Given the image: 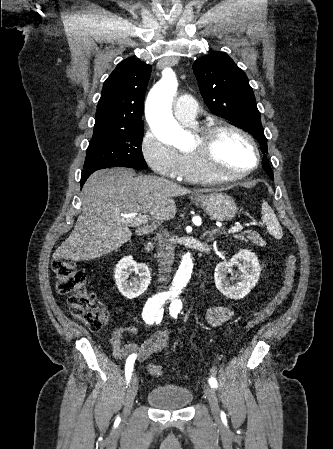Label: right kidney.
I'll use <instances>...</instances> for the list:
<instances>
[{
  "label": "right kidney",
  "mask_w": 333,
  "mask_h": 449,
  "mask_svg": "<svg viewBox=\"0 0 333 449\" xmlns=\"http://www.w3.org/2000/svg\"><path fill=\"white\" fill-rule=\"evenodd\" d=\"M132 272L139 278L128 280ZM115 280L120 293L127 299H134L147 290L151 277L147 265L136 263L132 256H126L116 265Z\"/></svg>",
  "instance_id": "ca27d5eb"
}]
</instances>
